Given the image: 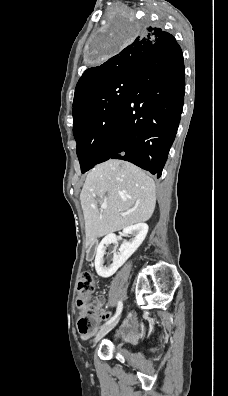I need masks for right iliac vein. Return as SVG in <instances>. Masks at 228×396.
<instances>
[{"label": "right iliac vein", "mask_w": 228, "mask_h": 396, "mask_svg": "<svg viewBox=\"0 0 228 396\" xmlns=\"http://www.w3.org/2000/svg\"><path fill=\"white\" fill-rule=\"evenodd\" d=\"M119 321V317L116 318L113 322H111L110 324L102 327L99 332L97 333L96 337L94 338V342H93V346H95V344L102 338L104 337L108 332H110L115 325L118 323Z\"/></svg>", "instance_id": "1"}]
</instances>
